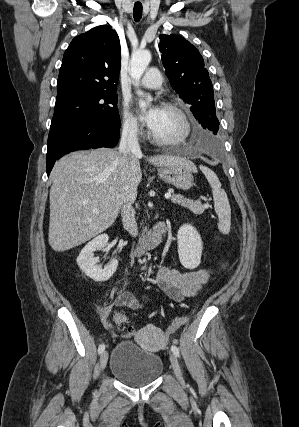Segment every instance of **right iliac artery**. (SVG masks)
Returning a JSON list of instances; mask_svg holds the SVG:
<instances>
[{"mask_svg":"<svg viewBox=\"0 0 299 427\" xmlns=\"http://www.w3.org/2000/svg\"><path fill=\"white\" fill-rule=\"evenodd\" d=\"M105 350V345L101 344L98 348V353L101 354Z\"/></svg>","mask_w":299,"mask_h":427,"instance_id":"obj_1","label":"right iliac artery"}]
</instances>
